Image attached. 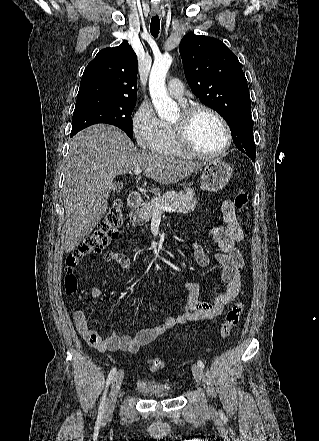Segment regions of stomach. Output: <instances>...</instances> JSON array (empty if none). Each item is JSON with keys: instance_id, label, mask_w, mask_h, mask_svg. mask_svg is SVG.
Here are the masks:
<instances>
[{"instance_id": "stomach-1", "label": "stomach", "mask_w": 319, "mask_h": 441, "mask_svg": "<svg viewBox=\"0 0 319 441\" xmlns=\"http://www.w3.org/2000/svg\"><path fill=\"white\" fill-rule=\"evenodd\" d=\"M232 176V168L226 162L213 159L205 164L201 176V188L215 192L222 189Z\"/></svg>"}]
</instances>
